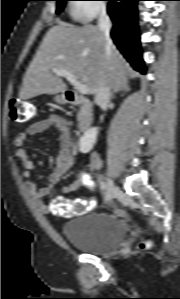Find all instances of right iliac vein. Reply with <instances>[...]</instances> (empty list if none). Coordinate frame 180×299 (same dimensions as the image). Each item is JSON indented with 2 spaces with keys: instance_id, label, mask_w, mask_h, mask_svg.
<instances>
[{
  "instance_id": "right-iliac-vein-1",
  "label": "right iliac vein",
  "mask_w": 180,
  "mask_h": 299,
  "mask_svg": "<svg viewBox=\"0 0 180 299\" xmlns=\"http://www.w3.org/2000/svg\"><path fill=\"white\" fill-rule=\"evenodd\" d=\"M106 188H107V190H106V195H105V201L109 202L117 195V193L119 192V189H118V187H116V185L110 178L107 179Z\"/></svg>"
}]
</instances>
